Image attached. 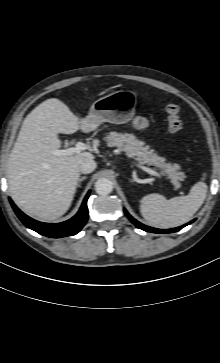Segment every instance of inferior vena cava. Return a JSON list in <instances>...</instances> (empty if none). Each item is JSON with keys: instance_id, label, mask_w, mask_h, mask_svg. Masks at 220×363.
Here are the masks:
<instances>
[{"instance_id": "obj_1", "label": "inferior vena cava", "mask_w": 220, "mask_h": 363, "mask_svg": "<svg viewBox=\"0 0 220 363\" xmlns=\"http://www.w3.org/2000/svg\"><path fill=\"white\" fill-rule=\"evenodd\" d=\"M96 162L94 160L82 161L79 165V171L83 174H88L96 169Z\"/></svg>"}]
</instances>
